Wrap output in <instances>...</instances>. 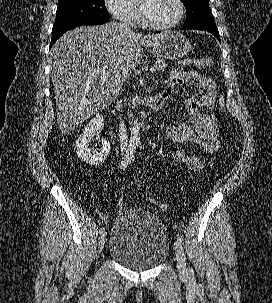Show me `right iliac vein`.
<instances>
[{
  "mask_svg": "<svg viewBox=\"0 0 272 303\" xmlns=\"http://www.w3.org/2000/svg\"><path fill=\"white\" fill-rule=\"evenodd\" d=\"M105 241H106V233H102L99 237V241H98V251L99 253L103 250L104 245H105Z\"/></svg>",
  "mask_w": 272,
  "mask_h": 303,
  "instance_id": "right-iliac-vein-1",
  "label": "right iliac vein"
}]
</instances>
